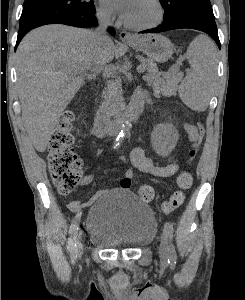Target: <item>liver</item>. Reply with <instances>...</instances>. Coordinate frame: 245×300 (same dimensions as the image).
Listing matches in <instances>:
<instances>
[{
    "label": "liver",
    "mask_w": 245,
    "mask_h": 300,
    "mask_svg": "<svg viewBox=\"0 0 245 300\" xmlns=\"http://www.w3.org/2000/svg\"><path fill=\"white\" fill-rule=\"evenodd\" d=\"M95 32L60 24L29 32L16 53L19 99L26 132L44 152L54 128L77 91L86 71H100L114 58L109 38L98 46Z\"/></svg>",
    "instance_id": "obj_1"
}]
</instances>
